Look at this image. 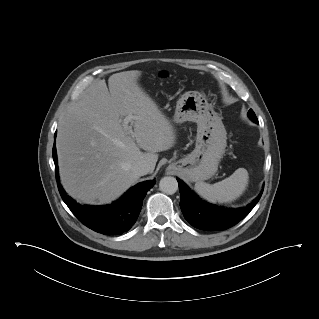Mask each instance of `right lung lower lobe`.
<instances>
[{"label": "right lung lower lobe", "instance_id": "1", "mask_svg": "<svg viewBox=\"0 0 319 319\" xmlns=\"http://www.w3.org/2000/svg\"><path fill=\"white\" fill-rule=\"evenodd\" d=\"M53 159L58 189L63 201L80 222L95 232L105 235H120L132 227L138 218L146 193L155 184V180L139 183L111 205L82 206L66 194L59 182L55 143Z\"/></svg>", "mask_w": 319, "mask_h": 319}]
</instances>
